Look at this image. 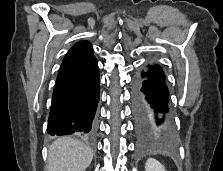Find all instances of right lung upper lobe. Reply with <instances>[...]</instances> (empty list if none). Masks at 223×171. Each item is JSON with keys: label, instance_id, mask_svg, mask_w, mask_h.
<instances>
[{"label": "right lung upper lobe", "instance_id": "right-lung-upper-lobe-1", "mask_svg": "<svg viewBox=\"0 0 223 171\" xmlns=\"http://www.w3.org/2000/svg\"><path fill=\"white\" fill-rule=\"evenodd\" d=\"M94 58L91 44L87 41L78 42L64 57L59 74L86 64Z\"/></svg>", "mask_w": 223, "mask_h": 171}]
</instances>
